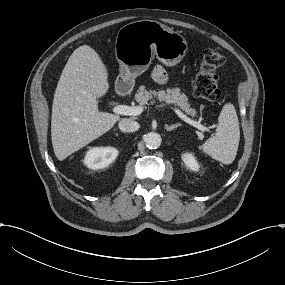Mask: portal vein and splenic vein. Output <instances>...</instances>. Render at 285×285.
<instances>
[{"instance_id": "portal-vein-and-splenic-vein-1", "label": "portal vein and splenic vein", "mask_w": 285, "mask_h": 285, "mask_svg": "<svg viewBox=\"0 0 285 285\" xmlns=\"http://www.w3.org/2000/svg\"><path fill=\"white\" fill-rule=\"evenodd\" d=\"M161 106V105H159ZM175 113L186 123L192 125L193 127H196L200 131H209V129L203 125L200 124V122H197L195 120H192L188 116H186L182 111H180L177 108H174ZM113 112L120 115H129V116H138L143 112L142 106H127V105H118L113 108Z\"/></svg>"}]
</instances>
